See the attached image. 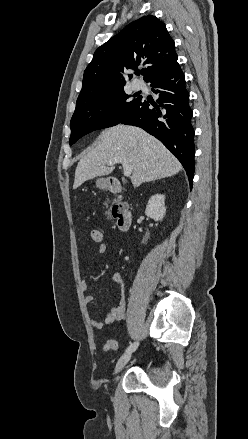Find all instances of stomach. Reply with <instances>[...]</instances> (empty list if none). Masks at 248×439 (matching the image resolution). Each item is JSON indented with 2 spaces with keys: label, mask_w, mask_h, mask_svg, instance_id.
<instances>
[{
  "label": "stomach",
  "mask_w": 248,
  "mask_h": 439,
  "mask_svg": "<svg viewBox=\"0 0 248 439\" xmlns=\"http://www.w3.org/2000/svg\"><path fill=\"white\" fill-rule=\"evenodd\" d=\"M96 186L100 189H106L108 187V179L106 178L97 179Z\"/></svg>",
  "instance_id": "stomach-1"
}]
</instances>
